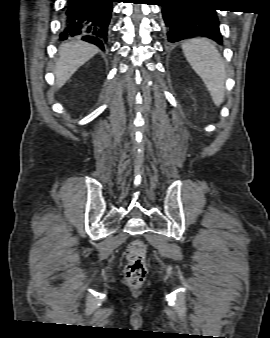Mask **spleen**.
Returning <instances> with one entry per match:
<instances>
[{"label":"spleen","mask_w":270,"mask_h":338,"mask_svg":"<svg viewBox=\"0 0 270 338\" xmlns=\"http://www.w3.org/2000/svg\"><path fill=\"white\" fill-rule=\"evenodd\" d=\"M187 61L206 85L215 105L225 98L226 71L224 61L215 45L204 38L187 40L182 44Z\"/></svg>","instance_id":"spleen-1"}]
</instances>
